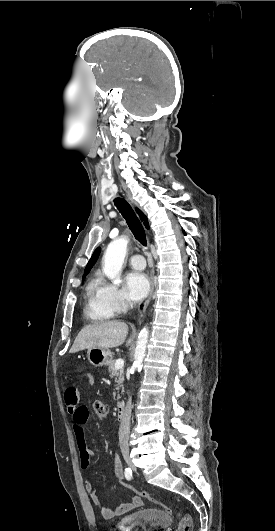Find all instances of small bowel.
<instances>
[{
	"instance_id": "1",
	"label": "small bowel",
	"mask_w": 275,
	"mask_h": 531,
	"mask_svg": "<svg viewBox=\"0 0 275 531\" xmlns=\"http://www.w3.org/2000/svg\"><path fill=\"white\" fill-rule=\"evenodd\" d=\"M86 382L91 383L94 380L93 375L88 374L85 377ZM65 403L67 411L73 421V433L80 450V464L83 469L90 466L91 458L94 456L93 450L87 446L85 427L89 421V411L84 406L78 405V396L74 390H67L65 393ZM114 473L119 480L124 479V470L122 463L117 455L113 456ZM84 487L90 495L91 502L97 506L104 519H113L125 515L142 506V499L138 495L133 496L130 501L122 503L114 508L104 506L96 493L95 484L89 480L84 482Z\"/></svg>"
}]
</instances>
